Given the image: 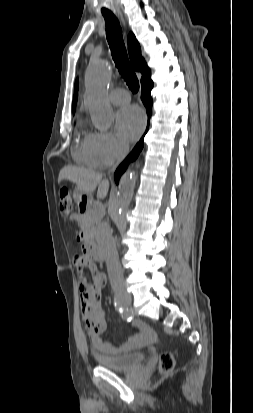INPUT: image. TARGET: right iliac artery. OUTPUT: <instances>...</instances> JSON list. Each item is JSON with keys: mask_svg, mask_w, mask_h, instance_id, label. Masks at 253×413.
Instances as JSON below:
<instances>
[{"mask_svg": "<svg viewBox=\"0 0 253 413\" xmlns=\"http://www.w3.org/2000/svg\"><path fill=\"white\" fill-rule=\"evenodd\" d=\"M114 305L116 310L121 314L122 318L130 321L132 316L131 313L129 312L128 309H125L124 307H122V305H120V303L118 302V300L114 299Z\"/></svg>", "mask_w": 253, "mask_h": 413, "instance_id": "82829eb1", "label": "right iliac artery"}]
</instances>
